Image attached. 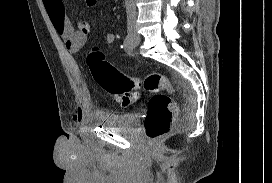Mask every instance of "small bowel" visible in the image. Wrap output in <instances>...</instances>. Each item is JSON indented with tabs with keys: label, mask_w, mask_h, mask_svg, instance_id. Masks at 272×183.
I'll use <instances>...</instances> for the list:
<instances>
[{
	"label": "small bowel",
	"mask_w": 272,
	"mask_h": 183,
	"mask_svg": "<svg viewBox=\"0 0 272 183\" xmlns=\"http://www.w3.org/2000/svg\"><path fill=\"white\" fill-rule=\"evenodd\" d=\"M43 4L54 28L62 37L66 49L72 54H78L84 47L90 32L89 23L79 20L74 26L65 13L64 0H43ZM115 40L116 35L113 33L109 32L104 35L106 44H112ZM73 119L81 123L83 121L82 112L76 111Z\"/></svg>",
	"instance_id": "1"
}]
</instances>
